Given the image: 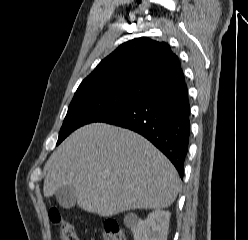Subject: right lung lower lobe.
I'll use <instances>...</instances> for the list:
<instances>
[{
    "instance_id": "98d812e1",
    "label": "right lung lower lobe",
    "mask_w": 248,
    "mask_h": 240,
    "mask_svg": "<svg viewBox=\"0 0 248 240\" xmlns=\"http://www.w3.org/2000/svg\"><path fill=\"white\" fill-rule=\"evenodd\" d=\"M98 122L141 134L169 158L183 178L190 136V104L185 82L142 97Z\"/></svg>"
}]
</instances>
